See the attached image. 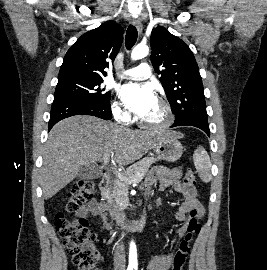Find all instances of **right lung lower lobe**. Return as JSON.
Listing matches in <instances>:
<instances>
[{"mask_svg": "<svg viewBox=\"0 0 267 270\" xmlns=\"http://www.w3.org/2000/svg\"><path fill=\"white\" fill-rule=\"evenodd\" d=\"M92 115L104 120L112 117L111 106L109 103H80L68 100L53 101L48 131L60 120L74 115Z\"/></svg>", "mask_w": 267, "mask_h": 270, "instance_id": "right-lung-lower-lobe-1", "label": "right lung lower lobe"}]
</instances>
